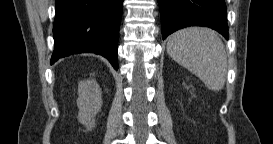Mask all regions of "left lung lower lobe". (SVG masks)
<instances>
[{"mask_svg": "<svg viewBox=\"0 0 273 144\" xmlns=\"http://www.w3.org/2000/svg\"><path fill=\"white\" fill-rule=\"evenodd\" d=\"M162 36L191 26H206L229 38L227 8L224 0H158Z\"/></svg>", "mask_w": 273, "mask_h": 144, "instance_id": "left-lung-lower-lobe-1", "label": "left lung lower lobe"}]
</instances>
